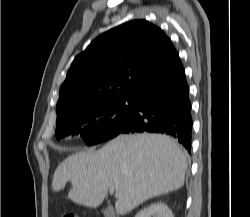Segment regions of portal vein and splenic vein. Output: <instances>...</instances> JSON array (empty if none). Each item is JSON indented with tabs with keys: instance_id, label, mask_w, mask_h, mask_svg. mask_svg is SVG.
Listing matches in <instances>:
<instances>
[{
	"instance_id": "1",
	"label": "portal vein and splenic vein",
	"mask_w": 250,
	"mask_h": 217,
	"mask_svg": "<svg viewBox=\"0 0 250 217\" xmlns=\"http://www.w3.org/2000/svg\"><path fill=\"white\" fill-rule=\"evenodd\" d=\"M114 191H115V189H114L113 187L109 188V193H110V194H113Z\"/></svg>"
}]
</instances>
